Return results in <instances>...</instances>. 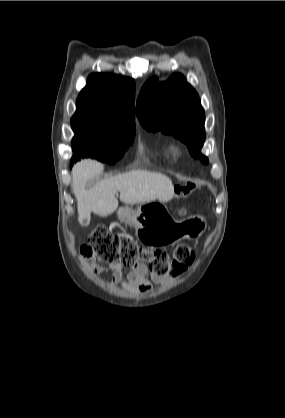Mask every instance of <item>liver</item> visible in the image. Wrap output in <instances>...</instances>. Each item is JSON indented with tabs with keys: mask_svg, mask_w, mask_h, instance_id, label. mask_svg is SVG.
<instances>
[{
	"mask_svg": "<svg viewBox=\"0 0 285 418\" xmlns=\"http://www.w3.org/2000/svg\"><path fill=\"white\" fill-rule=\"evenodd\" d=\"M103 164L94 160H81L72 169V190L77 199L78 219L90 216L91 212L105 217L118 208L120 201L125 204H144L154 200L167 202L174 196L172 181L166 175L147 170H132L105 178L87 189V182L99 175Z\"/></svg>",
	"mask_w": 285,
	"mask_h": 418,
	"instance_id": "6515ba94",
	"label": "liver"
}]
</instances>
